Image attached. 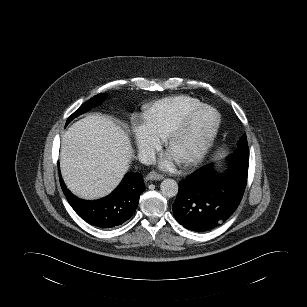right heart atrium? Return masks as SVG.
Returning a JSON list of instances; mask_svg holds the SVG:
<instances>
[{"label": "right heart atrium", "instance_id": "right-heart-atrium-1", "mask_svg": "<svg viewBox=\"0 0 307 307\" xmlns=\"http://www.w3.org/2000/svg\"><path fill=\"white\" fill-rule=\"evenodd\" d=\"M133 132L140 157L143 160L152 159L160 142L148 132L143 124L135 125Z\"/></svg>", "mask_w": 307, "mask_h": 307}]
</instances>
